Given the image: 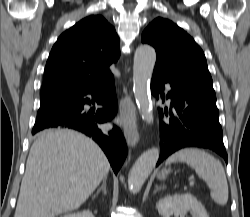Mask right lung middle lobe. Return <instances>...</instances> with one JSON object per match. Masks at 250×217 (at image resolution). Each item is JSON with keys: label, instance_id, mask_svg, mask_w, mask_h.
<instances>
[{"label": "right lung middle lobe", "instance_id": "right-lung-middle-lobe-1", "mask_svg": "<svg viewBox=\"0 0 250 217\" xmlns=\"http://www.w3.org/2000/svg\"><path fill=\"white\" fill-rule=\"evenodd\" d=\"M51 104H52V103H51ZM49 105H50V104H48V105H41V106H40V109H39V111H38V113H37V115L40 114V113L42 112V110H44L45 108H47Z\"/></svg>", "mask_w": 250, "mask_h": 217}]
</instances>
